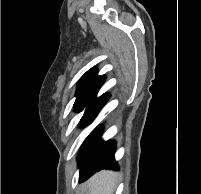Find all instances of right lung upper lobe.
Here are the masks:
<instances>
[{
    "label": "right lung upper lobe",
    "mask_w": 201,
    "mask_h": 194,
    "mask_svg": "<svg viewBox=\"0 0 201 194\" xmlns=\"http://www.w3.org/2000/svg\"><path fill=\"white\" fill-rule=\"evenodd\" d=\"M104 78V75H97L96 68L86 72L78 83L75 104H89L102 97L103 95L96 99L97 92L103 84Z\"/></svg>",
    "instance_id": "cb5924a9"
}]
</instances>
